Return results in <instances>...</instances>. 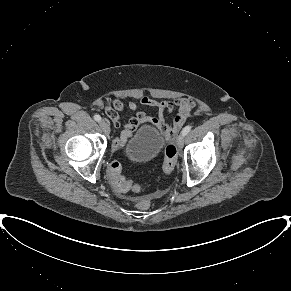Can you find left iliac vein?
<instances>
[{
  "label": "left iliac vein",
  "instance_id": "obj_1",
  "mask_svg": "<svg viewBox=\"0 0 291 291\" xmlns=\"http://www.w3.org/2000/svg\"><path fill=\"white\" fill-rule=\"evenodd\" d=\"M184 145V135L180 134L177 138V146L182 148Z\"/></svg>",
  "mask_w": 291,
  "mask_h": 291
}]
</instances>
